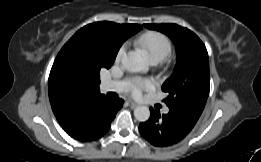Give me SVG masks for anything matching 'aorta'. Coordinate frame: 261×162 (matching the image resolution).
Instances as JSON below:
<instances>
[{"instance_id": "762f6f07", "label": "aorta", "mask_w": 261, "mask_h": 162, "mask_svg": "<svg viewBox=\"0 0 261 162\" xmlns=\"http://www.w3.org/2000/svg\"><path fill=\"white\" fill-rule=\"evenodd\" d=\"M122 66L129 72H139L147 68L144 57L136 51H130L123 56ZM134 116L138 121L145 122L150 117V110L147 106H138L134 110Z\"/></svg>"}]
</instances>
